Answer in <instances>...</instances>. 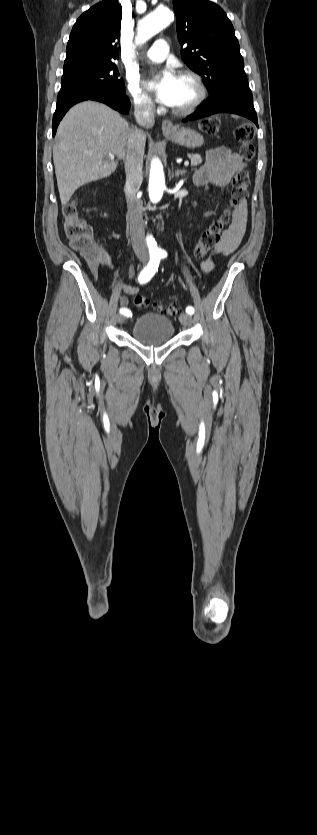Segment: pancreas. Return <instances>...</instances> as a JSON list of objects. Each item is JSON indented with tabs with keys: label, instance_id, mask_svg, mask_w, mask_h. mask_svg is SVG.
Returning <instances> with one entry per match:
<instances>
[{
	"label": "pancreas",
	"instance_id": "obj_1",
	"mask_svg": "<svg viewBox=\"0 0 317 835\" xmlns=\"http://www.w3.org/2000/svg\"><path fill=\"white\" fill-rule=\"evenodd\" d=\"M188 157L191 159L195 166L201 164L203 161L200 154H189Z\"/></svg>",
	"mask_w": 317,
	"mask_h": 835
}]
</instances>
